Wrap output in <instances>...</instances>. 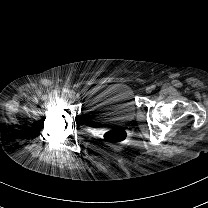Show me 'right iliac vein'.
I'll return each mask as SVG.
<instances>
[{
    "label": "right iliac vein",
    "mask_w": 208,
    "mask_h": 208,
    "mask_svg": "<svg viewBox=\"0 0 208 208\" xmlns=\"http://www.w3.org/2000/svg\"><path fill=\"white\" fill-rule=\"evenodd\" d=\"M68 96H69V98H71V99L75 98V92H74V91H70V92L68 93Z\"/></svg>",
    "instance_id": "63e3f726"
}]
</instances>
